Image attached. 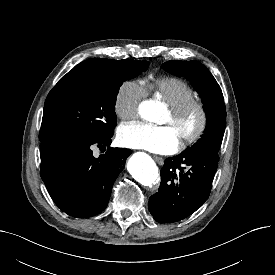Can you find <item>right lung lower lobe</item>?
<instances>
[{
	"label": "right lung lower lobe",
	"mask_w": 275,
	"mask_h": 275,
	"mask_svg": "<svg viewBox=\"0 0 275 275\" xmlns=\"http://www.w3.org/2000/svg\"><path fill=\"white\" fill-rule=\"evenodd\" d=\"M111 137L41 148V178L55 204L68 215L91 217L107 207L113 183L132 152L109 147ZM94 146L108 148L96 158L92 153Z\"/></svg>",
	"instance_id": "right-lung-lower-lobe-1"
}]
</instances>
